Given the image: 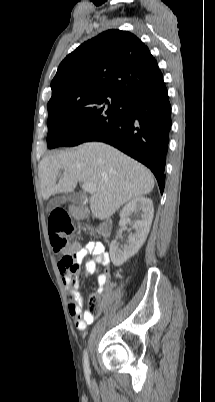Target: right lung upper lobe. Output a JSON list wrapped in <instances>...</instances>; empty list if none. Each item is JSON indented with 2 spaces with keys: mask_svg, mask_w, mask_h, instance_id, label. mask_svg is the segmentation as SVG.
Segmentation results:
<instances>
[{
  "mask_svg": "<svg viewBox=\"0 0 215 402\" xmlns=\"http://www.w3.org/2000/svg\"><path fill=\"white\" fill-rule=\"evenodd\" d=\"M165 86L148 47L126 31L108 30L81 44L59 65L52 97L117 95L125 99Z\"/></svg>",
  "mask_w": 215,
  "mask_h": 402,
  "instance_id": "right-lung-upper-lobe-1",
  "label": "right lung upper lobe"
}]
</instances>
